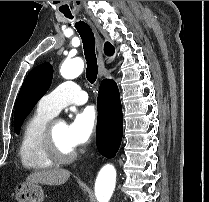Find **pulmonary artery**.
Returning a JSON list of instances; mask_svg holds the SVG:
<instances>
[{
	"instance_id": "1",
	"label": "pulmonary artery",
	"mask_w": 209,
	"mask_h": 202,
	"mask_svg": "<svg viewBox=\"0 0 209 202\" xmlns=\"http://www.w3.org/2000/svg\"><path fill=\"white\" fill-rule=\"evenodd\" d=\"M87 100L88 96L79 84L73 80H67L44 95L39 100V107L52 115H56L65 106L70 104L81 105Z\"/></svg>"
}]
</instances>
